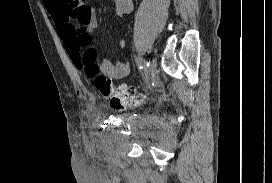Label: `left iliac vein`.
I'll list each match as a JSON object with an SVG mask.
<instances>
[{
  "instance_id": "left-iliac-vein-1",
  "label": "left iliac vein",
  "mask_w": 272,
  "mask_h": 183,
  "mask_svg": "<svg viewBox=\"0 0 272 183\" xmlns=\"http://www.w3.org/2000/svg\"><path fill=\"white\" fill-rule=\"evenodd\" d=\"M148 72L150 74L149 82L153 81L157 75V62L155 59H152L150 62V66L148 68Z\"/></svg>"
}]
</instances>
